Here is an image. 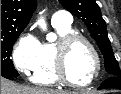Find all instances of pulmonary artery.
I'll list each match as a JSON object with an SVG mask.
<instances>
[{
  "label": "pulmonary artery",
  "instance_id": "1",
  "mask_svg": "<svg viewBox=\"0 0 121 94\" xmlns=\"http://www.w3.org/2000/svg\"><path fill=\"white\" fill-rule=\"evenodd\" d=\"M71 22V14L64 10H59L52 16V23L54 24L70 25Z\"/></svg>",
  "mask_w": 121,
  "mask_h": 94
}]
</instances>
